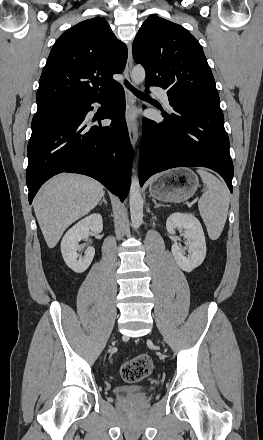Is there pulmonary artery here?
<instances>
[{
    "label": "pulmonary artery",
    "mask_w": 263,
    "mask_h": 440,
    "mask_svg": "<svg viewBox=\"0 0 263 440\" xmlns=\"http://www.w3.org/2000/svg\"><path fill=\"white\" fill-rule=\"evenodd\" d=\"M152 92H154L161 99V101L165 104L167 108L171 109L169 97L165 89L161 87H155L152 88Z\"/></svg>",
    "instance_id": "obj_1"
}]
</instances>
